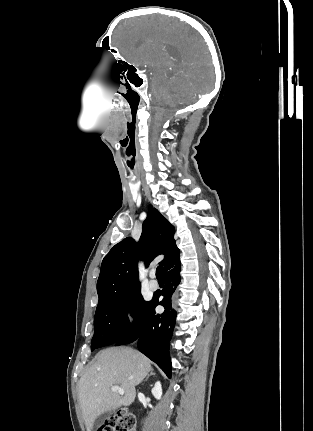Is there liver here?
<instances>
[{
  "label": "liver",
  "instance_id": "1",
  "mask_svg": "<svg viewBox=\"0 0 313 431\" xmlns=\"http://www.w3.org/2000/svg\"><path fill=\"white\" fill-rule=\"evenodd\" d=\"M150 360L127 347H113L100 351L78 383V398L87 431L102 414L131 405L136 397L135 386L151 370ZM120 386L124 394L112 392Z\"/></svg>",
  "mask_w": 313,
  "mask_h": 431
}]
</instances>
